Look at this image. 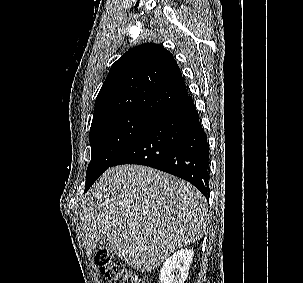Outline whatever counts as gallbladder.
Instances as JSON below:
<instances>
[{
  "instance_id": "gallbladder-1",
  "label": "gallbladder",
  "mask_w": 303,
  "mask_h": 283,
  "mask_svg": "<svg viewBox=\"0 0 303 283\" xmlns=\"http://www.w3.org/2000/svg\"><path fill=\"white\" fill-rule=\"evenodd\" d=\"M97 249H99V250H101V249H107V250H109L110 249V243H109V241L107 239H101L98 242Z\"/></svg>"
}]
</instances>
